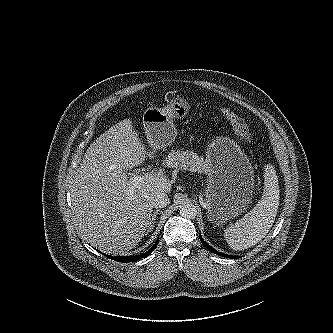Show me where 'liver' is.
Segmentation results:
<instances>
[{"label":"liver","mask_w":333,"mask_h":333,"mask_svg":"<svg viewBox=\"0 0 333 333\" xmlns=\"http://www.w3.org/2000/svg\"><path fill=\"white\" fill-rule=\"evenodd\" d=\"M148 152L125 119L100 135L87 149L72 188L75 225L86 241L106 254H124L144 237L158 192L171 182L161 170L133 185L126 171L142 164Z\"/></svg>","instance_id":"6515ba94"}]
</instances>
